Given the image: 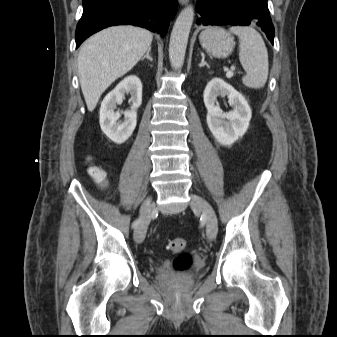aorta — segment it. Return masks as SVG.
I'll use <instances>...</instances> for the list:
<instances>
[{"mask_svg":"<svg viewBox=\"0 0 337 337\" xmlns=\"http://www.w3.org/2000/svg\"><path fill=\"white\" fill-rule=\"evenodd\" d=\"M193 20L194 8L189 5L180 12L173 26L169 43V59L174 69H180L183 66Z\"/></svg>","mask_w":337,"mask_h":337,"instance_id":"1","label":"aorta"}]
</instances>
